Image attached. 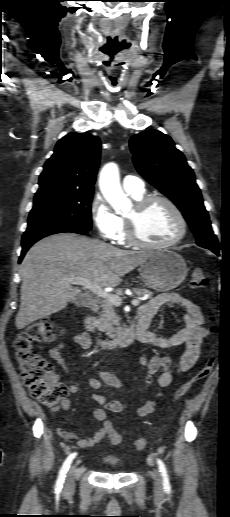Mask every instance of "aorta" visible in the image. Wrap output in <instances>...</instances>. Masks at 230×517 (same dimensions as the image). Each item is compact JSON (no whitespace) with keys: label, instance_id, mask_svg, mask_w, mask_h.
<instances>
[{"label":"aorta","instance_id":"aorta-1","mask_svg":"<svg viewBox=\"0 0 230 517\" xmlns=\"http://www.w3.org/2000/svg\"><path fill=\"white\" fill-rule=\"evenodd\" d=\"M99 187L104 198L117 213L125 210L130 204V200L122 190L119 169L115 163L104 165L99 176Z\"/></svg>","mask_w":230,"mask_h":517}]
</instances>
